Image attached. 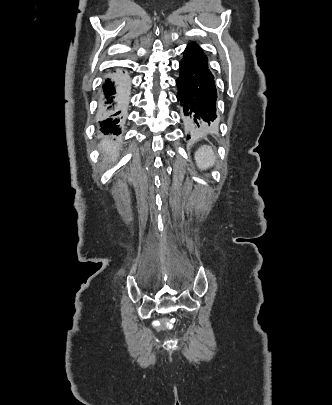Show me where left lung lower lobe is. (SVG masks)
Masks as SVG:
<instances>
[{"label":"left lung lower lobe","instance_id":"left-lung-lower-lobe-1","mask_svg":"<svg viewBox=\"0 0 332 405\" xmlns=\"http://www.w3.org/2000/svg\"><path fill=\"white\" fill-rule=\"evenodd\" d=\"M179 69L177 99L185 128L190 133H201L217 119V90L208 58L197 44L191 43L184 51Z\"/></svg>","mask_w":332,"mask_h":405}]
</instances>
